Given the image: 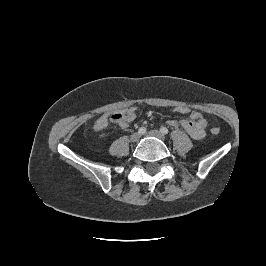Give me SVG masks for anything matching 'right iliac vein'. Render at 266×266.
<instances>
[{
    "label": "right iliac vein",
    "mask_w": 266,
    "mask_h": 266,
    "mask_svg": "<svg viewBox=\"0 0 266 266\" xmlns=\"http://www.w3.org/2000/svg\"><path fill=\"white\" fill-rule=\"evenodd\" d=\"M140 138V135L139 133H133L131 136H130V141L131 142H137Z\"/></svg>",
    "instance_id": "63e3f726"
}]
</instances>
